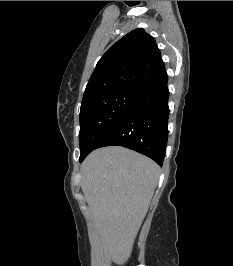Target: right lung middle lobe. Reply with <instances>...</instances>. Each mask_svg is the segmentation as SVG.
<instances>
[{"label": "right lung middle lobe", "mask_w": 233, "mask_h": 266, "mask_svg": "<svg viewBox=\"0 0 233 266\" xmlns=\"http://www.w3.org/2000/svg\"><path fill=\"white\" fill-rule=\"evenodd\" d=\"M145 91L118 90L90 98L81 104L80 157L89 154L100 140L133 108Z\"/></svg>", "instance_id": "1"}]
</instances>
